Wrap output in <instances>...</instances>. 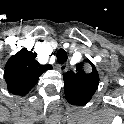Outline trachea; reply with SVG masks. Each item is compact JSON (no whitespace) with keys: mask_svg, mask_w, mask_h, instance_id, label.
I'll return each instance as SVG.
<instances>
[{"mask_svg":"<svg viewBox=\"0 0 124 124\" xmlns=\"http://www.w3.org/2000/svg\"><path fill=\"white\" fill-rule=\"evenodd\" d=\"M57 62L60 63V64H63L67 61L68 59V56H67V53L64 49H59L57 51Z\"/></svg>","mask_w":124,"mask_h":124,"instance_id":"3493384b","label":"trachea"}]
</instances>
